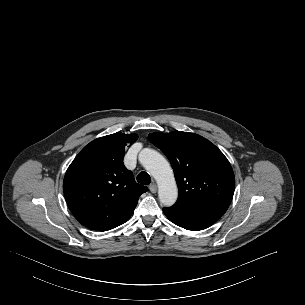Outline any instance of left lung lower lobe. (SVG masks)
Masks as SVG:
<instances>
[{
    "label": "left lung lower lobe",
    "mask_w": 305,
    "mask_h": 305,
    "mask_svg": "<svg viewBox=\"0 0 305 305\" xmlns=\"http://www.w3.org/2000/svg\"><path fill=\"white\" fill-rule=\"evenodd\" d=\"M163 212L174 224L192 231L208 228L223 215L218 213L202 215L184 214L171 211L168 208H163Z\"/></svg>",
    "instance_id": "obj_1"
}]
</instances>
